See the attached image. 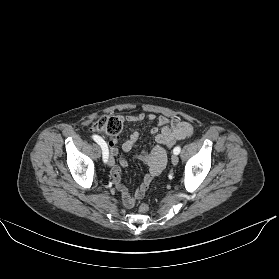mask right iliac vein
<instances>
[{
    "mask_svg": "<svg viewBox=\"0 0 279 279\" xmlns=\"http://www.w3.org/2000/svg\"><path fill=\"white\" fill-rule=\"evenodd\" d=\"M108 165L109 166H113L115 161L114 158L112 156H109V158L107 159Z\"/></svg>",
    "mask_w": 279,
    "mask_h": 279,
    "instance_id": "obj_1",
    "label": "right iliac vein"
}]
</instances>
